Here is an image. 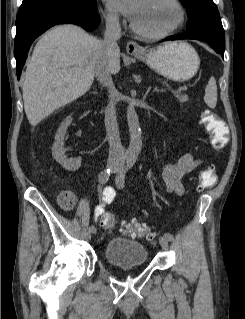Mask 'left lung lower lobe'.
Masks as SVG:
<instances>
[{"mask_svg":"<svg viewBox=\"0 0 245 319\" xmlns=\"http://www.w3.org/2000/svg\"><path fill=\"white\" fill-rule=\"evenodd\" d=\"M182 39H197V40L204 41L208 43L216 51V53L220 54L221 57L224 59L225 42L209 34L185 32V33L169 36L165 38L163 41L182 40Z\"/></svg>","mask_w":245,"mask_h":319,"instance_id":"obj_1","label":"left lung lower lobe"}]
</instances>
